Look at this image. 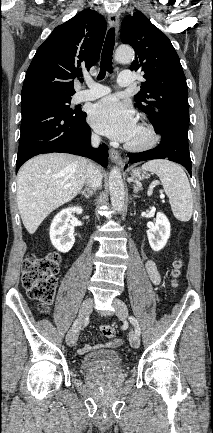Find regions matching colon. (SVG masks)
I'll return each mask as SVG.
<instances>
[{
	"label": "colon",
	"instance_id": "1",
	"mask_svg": "<svg viewBox=\"0 0 213 433\" xmlns=\"http://www.w3.org/2000/svg\"><path fill=\"white\" fill-rule=\"evenodd\" d=\"M60 266V256L51 252L43 256L29 254L22 263V285L28 296L40 303V310L46 312L51 304L57 288V274ZM183 262L176 259L171 271L172 285L177 286L181 276ZM101 333L107 338H114L116 330L113 326L104 324Z\"/></svg>",
	"mask_w": 213,
	"mask_h": 433
}]
</instances>
